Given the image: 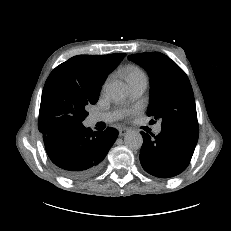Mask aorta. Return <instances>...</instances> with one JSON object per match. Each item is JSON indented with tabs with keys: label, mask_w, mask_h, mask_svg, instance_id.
Returning <instances> with one entry per match:
<instances>
[{
	"label": "aorta",
	"mask_w": 231,
	"mask_h": 231,
	"mask_svg": "<svg viewBox=\"0 0 231 231\" xmlns=\"http://www.w3.org/2000/svg\"><path fill=\"white\" fill-rule=\"evenodd\" d=\"M107 93L112 100L121 102L126 98L128 90L123 82L116 81L108 85ZM124 142L129 149L138 150L143 144V138L138 131L131 130L126 133Z\"/></svg>",
	"instance_id": "762f6f07"
}]
</instances>
